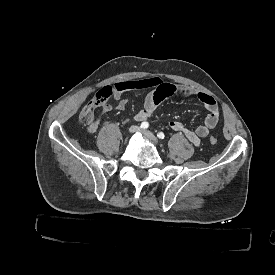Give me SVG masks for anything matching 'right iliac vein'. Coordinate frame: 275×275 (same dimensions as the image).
<instances>
[{"label":"right iliac vein","instance_id":"1","mask_svg":"<svg viewBox=\"0 0 275 275\" xmlns=\"http://www.w3.org/2000/svg\"><path fill=\"white\" fill-rule=\"evenodd\" d=\"M140 130V127L139 126H136V125H133V126H131L130 128H129V133H135V132H137V131H139Z\"/></svg>","mask_w":275,"mask_h":275}]
</instances>
